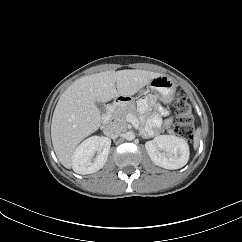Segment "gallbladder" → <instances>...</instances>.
I'll use <instances>...</instances> for the list:
<instances>
[{
  "label": "gallbladder",
  "mask_w": 242,
  "mask_h": 242,
  "mask_svg": "<svg viewBox=\"0 0 242 242\" xmlns=\"http://www.w3.org/2000/svg\"><path fill=\"white\" fill-rule=\"evenodd\" d=\"M96 106L99 109V111L104 112L106 109V106L103 102L97 101Z\"/></svg>",
  "instance_id": "obj_1"
}]
</instances>
